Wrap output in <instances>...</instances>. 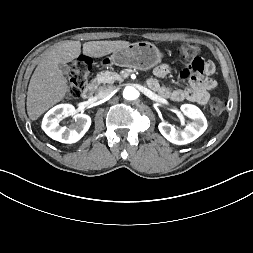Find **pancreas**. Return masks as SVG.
Segmentation results:
<instances>
[{"mask_svg":"<svg viewBox=\"0 0 253 253\" xmlns=\"http://www.w3.org/2000/svg\"><path fill=\"white\" fill-rule=\"evenodd\" d=\"M116 81L121 82V81H123V78L113 71H103V72L97 74L96 78L93 80V82L95 84H100V83L112 84Z\"/></svg>","mask_w":253,"mask_h":253,"instance_id":"1","label":"pancreas"}]
</instances>
